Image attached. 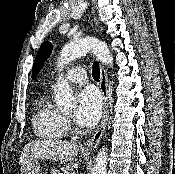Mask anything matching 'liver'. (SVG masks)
I'll return each instance as SVG.
<instances>
[{"label":"liver","instance_id":"liver-1","mask_svg":"<svg viewBox=\"0 0 175 174\" xmlns=\"http://www.w3.org/2000/svg\"><path fill=\"white\" fill-rule=\"evenodd\" d=\"M79 146L73 142L41 140L28 143L20 155L22 165L36 159L68 162L78 155Z\"/></svg>","mask_w":175,"mask_h":174}]
</instances>
